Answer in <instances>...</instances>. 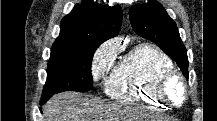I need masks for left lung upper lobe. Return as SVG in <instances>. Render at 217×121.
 Wrapping results in <instances>:
<instances>
[{"mask_svg": "<svg viewBox=\"0 0 217 121\" xmlns=\"http://www.w3.org/2000/svg\"><path fill=\"white\" fill-rule=\"evenodd\" d=\"M130 22L135 32L155 42L169 57L177 62L184 76L188 78L187 50L181 41L176 23L164 7L155 0L132 6Z\"/></svg>", "mask_w": 217, "mask_h": 121, "instance_id": "obj_1", "label": "left lung upper lobe"}]
</instances>
